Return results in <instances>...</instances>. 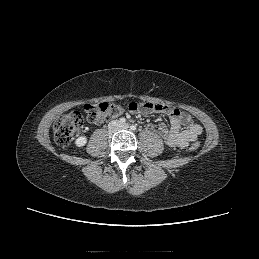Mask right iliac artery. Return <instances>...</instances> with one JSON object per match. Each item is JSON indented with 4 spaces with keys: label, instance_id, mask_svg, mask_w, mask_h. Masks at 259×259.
I'll return each mask as SVG.
<instances>
[{
    "label": "right iliac artery",
    "instance_id": "82829eb1",
    "mask_svg": "<svg viewBox=\"0 0 259 259\" xmlns=\"http://www.w3.org/2000/svg\"><path fill=\"white\" fill-rule=\"evenodd\" d=\"M119 122H120L121 124H125L126 119L122 117V118H120Z\"/></svg>",
    "mask_w": 259,
    "mask_h": 259
}]
</instances>
